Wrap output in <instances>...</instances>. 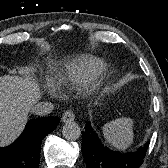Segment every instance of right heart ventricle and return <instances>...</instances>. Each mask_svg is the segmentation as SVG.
Returning <instances> with one entry per match:
<instances>
[{
    "instance_id": "e07e8e85",
    "label": "right heart ventricle",
    "mask_w": 168,
    "mask_h": 168,
    "mask_svg": "<svg viewBox=\"0 0 168 168\" xmlns=\"http://www.w3.org/2000/svg\"><path fill=\"white\" fill-rule=\"evenodd\" d=\"M103 60L93 56H82L66 65L54 76L59 86L85 85L104 69Z\"/></svg>"
}]
</instances>
